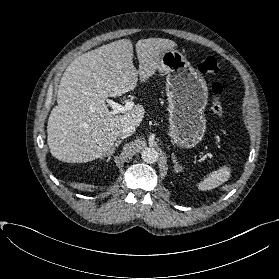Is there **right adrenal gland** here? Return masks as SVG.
<instances>
[{
	"instance_id": "1",
	"label": "right adrenal gland",
	"mask_w": 279,
	"mask_h": 279,
	"mask_svg": "<svg viewBox=\"0 0 279 279\" xmlns=\"http://www.w3.org/2000/svg\"><path fill=\"white\" fill-rule=\"evenodd\" d=\"M122 143V140H117L116 143L112 146L109 152L104 156L107 157L106 162L110 161L111 157L115 153L116 148Z\"/></svg>"
}]
</instances>
